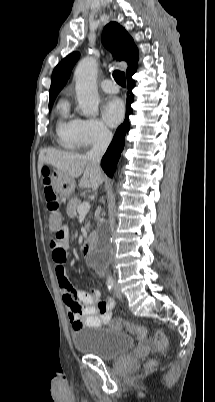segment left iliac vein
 <instances>
[{
    "mask_svg": "<svg viewBox=\"0 0 215 402\" xmlns=\"http://www.w3.org/2000/svg\"><path fill=\"white\" fill-rule=\"evenodd\" d=\"M115 295H116L117 298H121V297H122V295H121V293H120V290H119V288H118L117 285H115Z\"/></svg>",
    "mask_w": 215,
    "mask_h": 402,
    "instance_id": "4c4485c4",
    "label": "left iliac vein"
}]
</instances>
